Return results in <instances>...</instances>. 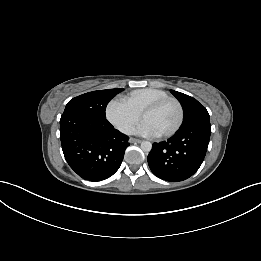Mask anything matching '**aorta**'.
<instances>
[{"label":"aorta","instance_id":"aorta-1","mask_svg":"<svg viewBox=\"0 0 261 261\" xmlns=\"http://www.w3.org/2000/svg\"><path fill=\"white\" fill-rule=\"evenodd\" d=\"M141 149L144 151V152H150L151 149H152V144L149 142V141H143L141 143Z\"/></svg>","mask_w":261,"mask_h":261}]
</instances>
